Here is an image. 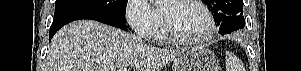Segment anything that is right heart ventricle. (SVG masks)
<instances>
[{
  "mask_svg": "<svg viewBox=\"0 0 301 71\" xmlns=\"http://www.w3.org/2000/svg\"><path fill=\"white\" fill-rule=\"evenodd\" d=\"M154 39L158 42L164 43L168 41V36L165 33L164 29H160L156 32V34L153 36Z\"/></svg>",
  "mask_w": 301,
  "mask_h": 71,
  "instance_id": "1",
  "label": "right heart ventricle"
}]
</instances>
